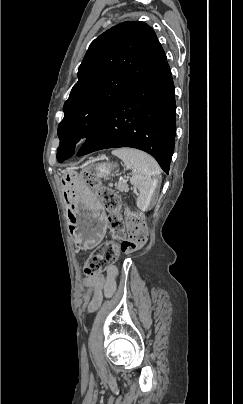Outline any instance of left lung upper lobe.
<instances>
[{
    "instance_id": "1",
    "label": "left lung upper lobe",
    "mask_w": 243,
    "mask_h": 404,
    "mask_svg": "<svg viewBox=\"0 0 243 404\" xmlns=\"http://www.w3.org/2000/svg\"><path fill=\"white\" fill-rule=\"evenodd\" d=\"M166 55L153 29L144 22L120 23L97 37L79 66L78 82L64 104L58 125L62 163L75 153L76 143L132 89L155 73Z\"/></svg>"
}]
</instances>
